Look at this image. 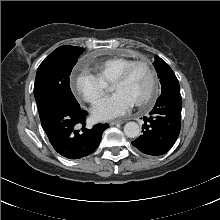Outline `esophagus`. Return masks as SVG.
Wrapping results in <instances>:
<instances>
[{
	"mask_svg": "<svg viewBox=\"0 0 220 220\" xmlns=\"http://www.w3.org/2000/svg\"><path fill=\"white\" fill-rule=\"evenodd\" d=\"M125 120H113L110 122V125L123 124Z\"/></svg>",
	"mask_w": 220,
	"mask_h": 220,
	"instance_id": "34e87169",
	"label": "esophagus"
}]
</instances>
